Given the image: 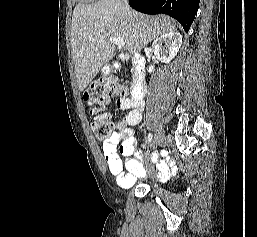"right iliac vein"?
Listing matches in <instances>:
<instances>
[{"instance_id":"63e3f726","label":"right iliac vein","mask_w":257,"mask_h":237,"mask_svg":"<svg viewBox=\"0 0 257 237\" xmlns=\"http://www.w3.org/2000/svg\"><path fill=\"white\" fill-rule=\"evenodd\" d=\"M163 138H164V135H163V132L161 129H159L156 134H155V137H154V141L152 143V149H156L162 142H163Z\"/></svg>"}]
</instances>
